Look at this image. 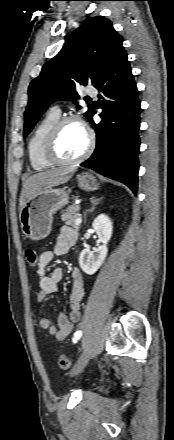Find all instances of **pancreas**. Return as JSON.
<instances>
[{"label":"pancreas","instance_id":"cf45deb5","mask_svg":"<svg viewBox=\"0 0 174 440\" xmlns=\"http://www.w3.org/2000/svg\"><path fill=\"white\" fill-rule=\"evenodd\" d=\"M80 207L79 205L73 204L69 206L65 211H61V219L66 224L71 226L73 229L78 231L80 229L79 225L75 224V220L79 217Z\"/></svg>","mask_w":174,"mask_h":440}]
</instances>
